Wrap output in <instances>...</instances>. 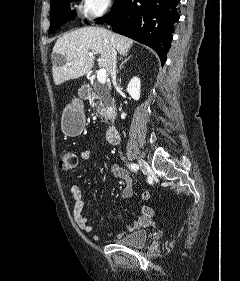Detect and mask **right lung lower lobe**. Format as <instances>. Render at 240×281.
<instances>
[{"label":"right lung lower lobe","mask_w":240,"mask_h":281,"mask_svg":"<svg viewBox=\"0 0 240 281\" xmlns=\"http://www.w3.org/2000/svg\"><path fill=\"white\" fill-rule=\"evenodd\" d=\"M180 0H116L97 23H110L113 31L153 48L162 64L171 46L173 24L179 20Z\"/></svg>","instance_id":"1"}]
</instances>
